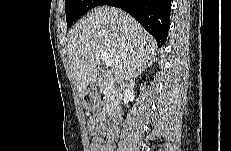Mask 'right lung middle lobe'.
<instances>
[{
	"instance_id": "obj_1",
	"label": "right lung middle lobe",
	"mask_w": 231,
	"mask_h": 151,
	"mask_svg": "<svg viewBox=\"0 0 231 151\" xmlns=\"http://www.w3.org/2000/svg\"><path fill=\"white\" fill-rule=\"evenodd\" d=\"M104 0H66V21L69 27L81 15L102 4Z\"/></svg>"
}]
</instances>
